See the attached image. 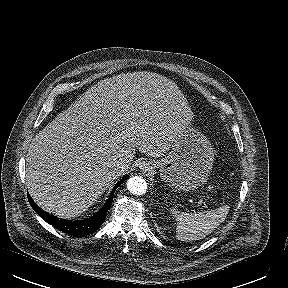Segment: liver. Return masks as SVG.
<instances>
[{"label":"liver","instance_id":"obj_1","mask_svg":"<svg viewBox=\"0 0 288 288\" xmlns=\"http://www.w3.org/2000/svg\"><path fill=\"white\" fill-rule=\"evenodd\" d=\"M192 118L179 87L162 75L106 78L33 138L26 158L29 193L50 213L79 216L129 169L137 149L163 156ZM117 161L126 169L108 175Z\"/></svg>","mask_w":288,"mask_h":288}]
</instances>
